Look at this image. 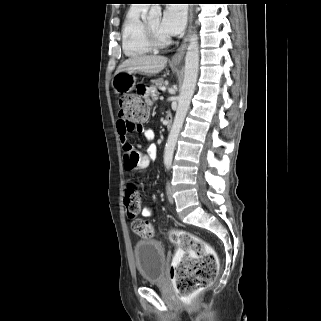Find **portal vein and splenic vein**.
<instances>
[{
  "label": "portal vein and splenic vein",
  "mask_w": 321,
  "mask_h": 321,
  "mask_svg": "<svg viewBox=\"0 0 321 321\" xmlns=\"http://www.w3.org/2000/svg\"><path fill=\"white\" fill-rule=\"evenodd\" d=\"M165 90H166L165 86L161 87V91H165Z\"/></svg>",
  "instance_id": "18ae733b"
}]
</instances>
